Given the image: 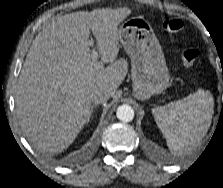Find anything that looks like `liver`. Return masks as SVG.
Instances as JSON below:
<instances>
[{
    "label": "liver",
    "instance_id": "obj_1",
    "mask_svg": "<svg viewBox=\"0 0 223 188\" xmlns=\"http://www.w3.org/2000/svg\"><path fill=\"white\" fill-rule=\"evenodd\" d=\"M129 8L79 11L53 19L27 53L16 87V112L28 141L38 150L60 153L76 139L91 107L90 94L113 96L127 74L119 53L118 26ZM97 40L103 67L93 60L89 34Z\"/></svg>",
    "mask_w": 223,
    "mask_h": 188
}]
</instances>
